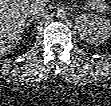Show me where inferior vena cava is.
I'll return each instance as SVG.
<instances>
[{
	"instance_id": "inferior-vena-cava-1",
	"label": "inferior vena cava",
	"mask_w": 111,
	"mask_h": 106,
	"mask_svg": "<svg viewBox=\"0 0 111 106\" xmlns=\"http://www.w3.org/2000/svg\"><path fill=\"white\" fill-rule=\"evenodd\" d=\"M48 12L47 3L42 0H35L31 3L30 13L39 17L40 15H44Z\"/></svg>"
}]
</instances>
